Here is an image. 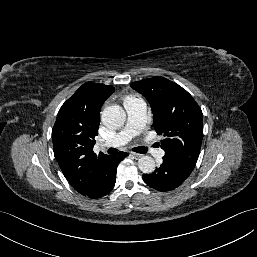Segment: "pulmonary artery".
<instances>
[{"instance_id": "obj_1", "label": "pulmonary artery", "mask_w": 257, "mask_h": 257, "mask_svg": "<svg viewBox=\"0 0 257 257\" xmlns=\"http://www.w3.org/2000/svg\"><path fill=\"white\" fill-rule=\"evenodd\" d=\"M127 112V123L125 127L118 132L113 138L103 142L106 147H118L128 143L134 136L139 134L146 122V104L142 99L131 98L124 103ZM150 154L160 159L164 155L161 148H150Z\"/></svg>"}]
</instances>
